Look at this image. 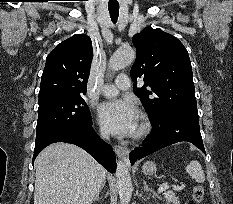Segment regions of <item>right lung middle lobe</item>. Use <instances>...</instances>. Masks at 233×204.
I'll return each instance as SVG.
<instances>
[{
  "label": "right lung middle lobe",
  "mask_w": 233,
  "mask_h": 204,
  "mask_svg": "<svg viewBox=\"0 0 233 204\" xmlns=\"http://www.w3.org/2000/svg\"><path fill=\"white\" fill-rule=\"evenodd\" d=\"M91 123L89 108L81 95L41 100L38 108L36 142Z\"/></svg>",
  "instance_id": "obj_1"
}]
</instances>
